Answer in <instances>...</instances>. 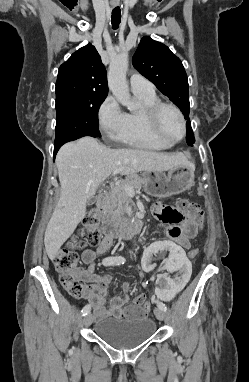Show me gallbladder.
<instances>
[{"label":"gallbladder","instance_id":"obj_1","mask_svg":"<svg viewBox=\"0 0 249 382\" xmlns=\"http://www.w3.org/2000/svg\"><path fill=\"white\" fill-rule=\"evenodd\" d=\"M96 201H97V198H96V197H91V198L87 201V205H88V206H91V205H93Z\"/></svg>","mask_w":249,"mask_h":382}]
</instances>
